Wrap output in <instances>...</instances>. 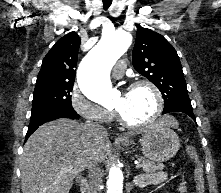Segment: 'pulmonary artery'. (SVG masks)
Returning a JSON list of instances; mask_svg holds the SVG:
<instances>
[{"instance_id":"obj_1","label":"pulmonary artery","mask_w":221,"mask_h":193,"mask_svg":"<svg viewBox=\"0 0 221 193\" xmlns=\"http://www.w3.org/2000/svg\"><path fill=\"white\" fill-rule=\"evenodd\" d=\"M125 62L124 61H119L115 65V67L112 70V75L115 78H121L124 75V70H125Z\"/></svg>"}]
</instances>
